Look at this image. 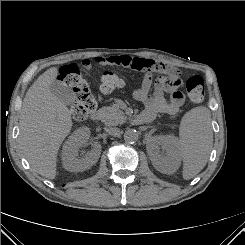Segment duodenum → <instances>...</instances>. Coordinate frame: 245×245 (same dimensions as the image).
Masks as SVG:
<instances>
[{"label": "duodenum", "mask_w": 245, "mask_h": 245, "mask_svg": "<svg viewBox=\"0 0 245 245\" xmlns=\"http://www.w3.org/2000/svg\"><path fill=\"white\" fill-rule=\"evenodd\" d=\"M91 119L93 121H99L101 119V113L98 112V111H95L92 113L91 115ZM150 121V118H148L147 116L143 115V114H140V115H137L135 118H134V123L135 124H143V123H147Z\"/></svg>", "instance_id": "duodenum-1"}]
</instances>
